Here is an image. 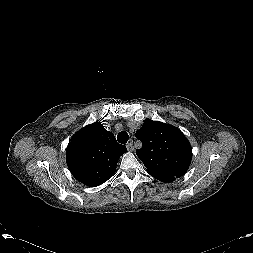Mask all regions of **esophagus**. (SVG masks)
Masks as SVG:
<instances>
[{
    "mask_svg": "<svg viewBox=\"0 0 253 253\" xmlns=\"http://www.w3.org/2000/svg\"><path fill=\"white\" fill-rule=\"evenodd\" d=\"M126 147H127V150L129 151V152H132L133 150H134V146H133V144L130 142V143H128L127 145H126Z\"/></svg>",
    "mask_w": 253,
    "mask_h": 253,
    "instance_id": "obj_1",
    "label": "esophagus"
}]
</instances>
